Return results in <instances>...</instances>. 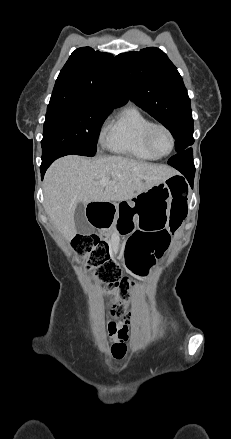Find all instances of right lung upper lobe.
I'll use <instances>...</instances> for the list:
<instances>
[{"mask_svg": "<svg viewBox=\"0 0 231 439\" xmlns=\"http://www.w3.org/2000/svg\"><path fill=\"white\" fill-rule=\"evenodd\" d=\"M127 102L113 55L81 47L60 71L48 106L88 103L116 108Z\"/></svg>", "mask_w": 231, "mask_h": 439, "instance_id": "right-lung-upper-lobe-1", "label": "right lung upper lobe"}]
</instances>
